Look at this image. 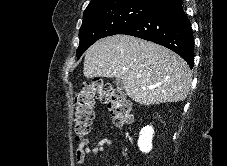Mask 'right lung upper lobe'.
Returning <instances> with one entry per match:
<instances>
[{"label": "right lung upper lobe", "mask_w": 227, "mask_h": 166, "mask_svg": "<svg viewBox=\"0 0 227 166\" xmlns=\"http://www.w3.org/2000/svg\"><path fill=\"white\" fill-rule=\"evenodd\" d=\"M164 0H91L84 13L91 12L100 8L118 5L128 2H137L142 4H147L151 6H156Z\"/></svg>", "instance_id": "obj_1"}]
</instances>
